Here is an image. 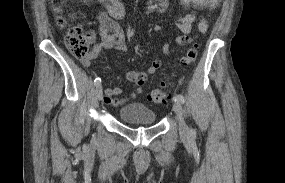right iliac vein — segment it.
Segmentation results:
<instances>
[{
    "instance_id": "1",
    "label": "right iliac vein",
    "mask_w": 285,
    "mask_h": 183,
    "mask_svg": "<svg viewBox=\"0 0 285 183\" xmlns=\"http://www.w3.org/2000/svg\"><path fill=\"white\" fill-rule=\"evenodd\" d=\"M95 92H96V95H97V98L98 100H102L103 99V92H102V87L101 85H96V89H95Z\"/></svg>"
}]
</instances>
